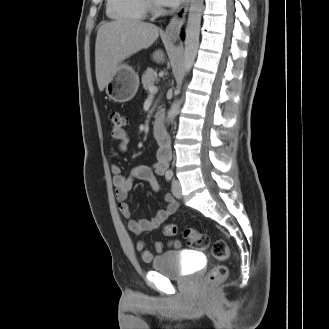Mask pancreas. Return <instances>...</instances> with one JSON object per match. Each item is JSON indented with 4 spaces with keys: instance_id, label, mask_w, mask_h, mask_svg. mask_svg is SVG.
<instances>
[{
    "instance_id": "cf45deb5",
    "label": "pancreas",
    "mask_w": 329,
    "mask_h": 329,
    "mask_svg": "<svg viewBox=\"0 0 329 329\" xmlns=\"http://www.w3.org/2000/svg\"><path fill=\"white\" fill-rule=\"evenodd\" d=\"M156 80V73L153 69L148 68L142 75V84L145 90H149V87L154 84Z\"/></svg>"
}]
</instances>
